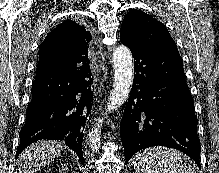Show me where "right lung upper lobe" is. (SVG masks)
Wrapping results in <instances>:
<instances>
[{
    "instance_id": "cb5924a9",
    "label": "right lung upper lobe",
    "mask_w": 219,
    "mask_h": 173,
    "mask_svg": "<svg viewBox=\"0 0 219 173\" xmlns=\"http://www.w3.org/2000/svg\"><path fill=\"white\" fill-rule=\"evenodd\" d=\"M90 37L83 25L67 20L51 31L40 45L39 61H64L70 55H77L89 63L87 42Z\"/></svg>"
}]
</instances>
